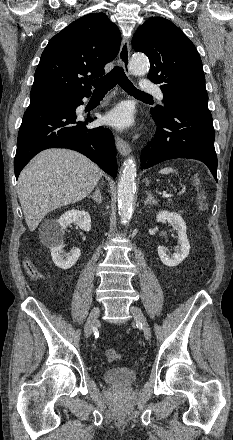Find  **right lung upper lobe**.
Returning a JSON list of instances; mask_svg holds the SVG:
<instances>
[{"label":"right lung upper lobe","mask_w":233,"mask_h":440,"mask_svg":"<svg viewBox=\"0 0 233 440\" xmlns=\"http://www.w3.org/2000/svg\"><path fill=\"white\" fill-rule=\"evenodd\" d=\"M121 35L104 13L87 14L55 35L35 71L30 103L91 94L86 82L104 74L119 52Z\"/></svg>","instance_id":"obj_1"}]
</instances>
